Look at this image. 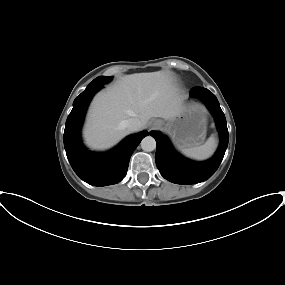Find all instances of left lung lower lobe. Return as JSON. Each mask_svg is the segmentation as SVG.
Segmentation results:
<instances>
[{"mask_svg": "<svg viewBox=\"0 0 285 285\" xmlns=\"http://www.w3.org/2000/svg\"><path fill=\"white\" fill-rule=\"evenodd\" d=\"M191 95L200 97L215 118L221 142L215 155L205 162H194L179 155L169 139L157 131L150 132L157 143L156 165L161 175L172 183L196 184L210 178L218 169L228 146V129L223 111L215 95L202 87L192 88Z\"/></svg>", "mask_w": 285, "mask_h": 285, "instance_id": "1", "label": "left lung lower lobe"}]
</instances>
